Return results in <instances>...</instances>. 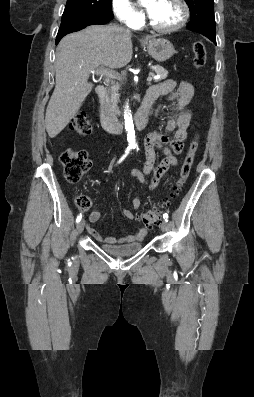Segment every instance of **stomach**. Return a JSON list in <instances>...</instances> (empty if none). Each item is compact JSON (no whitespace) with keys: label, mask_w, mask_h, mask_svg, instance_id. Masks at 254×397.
Wrapping results in <instances>:
<instances>
[{"label":"stomach","mask_w":254,"mask_h":397,"mask_svg":"<svg viewBox=\"0 0 254 397\" xmlns=\"http://www.w3.org/2000/svg\"><path fill=\"white\" fill-rule=\"evenodd\" d=\"M149 55L158 62H164L173 56L172 43L165 38H151L144 43Z\"/></svg>","instance_id":"0dacf381"}]
</instances>
